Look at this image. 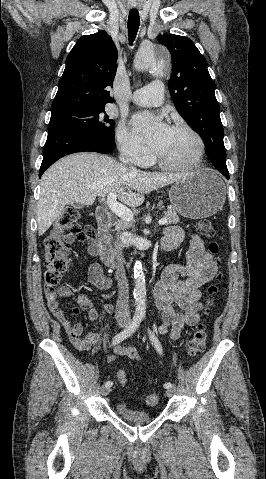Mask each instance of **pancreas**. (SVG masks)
I'll use <instances>...</instances> for the list:
<instances>
[{
    "mask_svg": "<svg viewBox=\"0 0 266 479\" xmlns=\"http://www.w3.org/2000/svg\"><path fill=\"white\" fill-rule=\"evenodd\" d=\"M164 218L167 219V225L169 224H177L180 219L176 213L175 210L173 209H170L168 210L167 212H165V215H164ZM131 225L127 222H124V221H120L119 224H118V229L119 230H126L130 227Z\"/></svg>",
    "mask_w": 266,
    "mask_h": 479,
    "instance_id": "pancreas-1",
    "label": "pancreas"
}]
</instances>
